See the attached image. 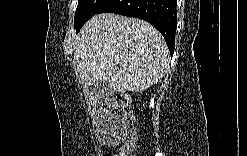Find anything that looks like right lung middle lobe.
I'll list each match as a JSON object with an SVG mask.
<instances>
[{
	"label": "right lung middle lobe",
	"instance_id": "right-lung-middle-lobe-1",
	"mask_svg": "<svg viewBox=\"0 0 247 156\" xmlns=\"http://www.w3.org/2000/svg\"><path fill=\"white\" fill-rule=\"evenodd\" d=\"M107 0H78V6L75 12L74 27L78 32L81 27L95 14Z\"/></svg>",
	"mask_w": 247,
	"mask_h": 156
}]
</instances>
